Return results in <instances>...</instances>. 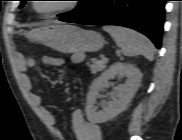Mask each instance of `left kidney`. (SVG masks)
Here are the masks:
<instances>
[{"instance_id": "obj_1", "label": "left kidney", "mask_w": 182, "mask_h": 140, "mask_svg": "<svg viewBox=\"0 0 182 140\" xmlns=\"http://www.w3.org/2000/svg\"><path fill=\"white\" fill-rule=\"evenodd\" d=\"M115 76L125 77V84L115 87L117 99L109 102L102 111H96L95 103L99 92L110 86L109 80ZM142 79V73L135 66L127 63H114L99 76L91 85L87 95L86 115L92 123H104L113 119L125 110L135 93L137 92Z\"/></svg>"}]
</instances>
